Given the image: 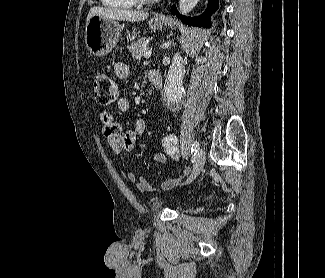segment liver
Here are the masks:
<instances>
[{
  "instance_id": "obj_1",
  "label": "liver",
  "mask_w": 325,
  "mask_h": 278,
  "mask_svg": "<svg viewBox=\"0 0 325 278\" xmlns=\"http://www.w3.org/2000/svg\"><path fill=\"white\" fill-rule=\"evenodd\" d=\"M95 15L107 19L129 21V22H140L145 20L148 17V13L141 12V11L94 6L90 9L88 13L86 24Z\"/></svg>"
}]
</instances>
